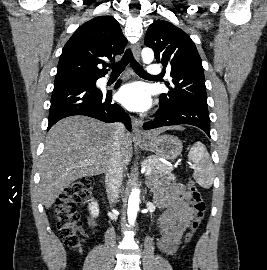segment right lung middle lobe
<instances>
[{
  "label": "right lung middle lobe",
  "mask_w": 267,
  "mask_h": 270,
  "mask_svg": "<svg viewBox=\"0 0 267 270\" xmlns=\"http://www.w3.org/2000/svg\"><path fill=\"white\" fill-rule=\"evenodd\" d=\"M95 77L83 76L77 74H66L55 77L54 85L62 84V83H73V84H91L95 86Z\"/></svg>",
  "instance_id": "obj_1"
}]
</instances>
